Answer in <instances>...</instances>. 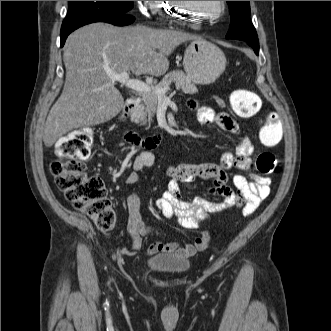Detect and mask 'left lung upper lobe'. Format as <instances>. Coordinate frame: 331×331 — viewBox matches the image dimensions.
<instances>
[{"mask_svg":"<svg viewBox=\"0 0 331 331\" xmlns=\"http://www.w3.org/2000/svg\"><path fill=\"white\" fill-rule=\"evenodd\" d=\"M231 14V24L227 39H238L245 42L257 41V33L250 20L249 1H227Z\"/></svg>","mask_w":331,"mask_h":331,"instance_id":"obj_1","label":"left lung upper lobe"}]
</instances>
